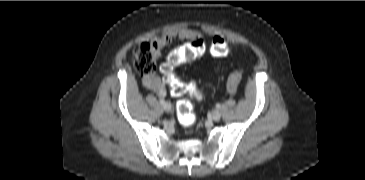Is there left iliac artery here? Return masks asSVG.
I'll list each match as a JSON object with an SVG mask.
<instances>
[{"label":"left iliac artery","instance_id":"44dca946","mask_svg":"<svg viewBox=\"0 0 365 180\" xmlns=\"http://www.w3.org/2000/svg\"><path fill=\"white\" fill-rule=\"evenodd\" d=\"M221 106L220 104H216V108L219 109Z\"/></svg>","mask_w":365,"mask_h":180}]
</instances>
